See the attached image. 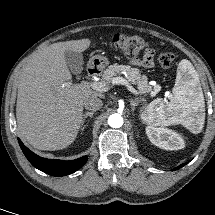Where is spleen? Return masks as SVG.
Returning a JSON list of instances; mask_svg holds the SVG:
<instances>
[{"label": "spleen", "mask_w": 215, "mask_h": 215, "mask_svg": "<svg viewBox=\"0 0 215 215\" xmlns=\"http://www.w3.org/2000/svg\"><path fill=\"white\" fill-rule=\"evenodd\" d=\"M197 81L198 75L193 65L186 59L181 60L171 100H154L142 112V119L150 126L182 124L192 133L201 132L205 121V104Z\"/></svg>", "instance_id": "spleen-1"}]
</instances>
